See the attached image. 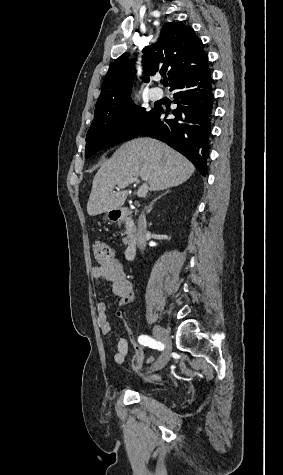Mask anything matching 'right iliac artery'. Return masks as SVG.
<instances>
[{"mask_svg": "<svg viewBox=\"0 0 283 475\" xmlns=\"http://www.w3.org/2000/svg\"><path fill=\"white\" fill-rule=\"evenodd\" d=\"M138 342L144 346H149L150 348L156 349L157 343L154 339L147 335H141L138 338Z\"/></svg>", "mask_w": 283, "mask_h": 475, "instance_id": "obj_1", "label": "right iliac artery"}]
</instances>
